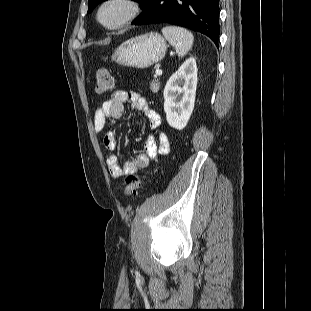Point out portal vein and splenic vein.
Masks as SVG:
<instances>
[{"label":"portal vein and splenic vein","mask_w":311,"mask_h":311,"mask_svg":"<svg viewBox=\"0 0 311 311\" xmlns=\"http://www.w3.org/2000/svg\"><path fill=\"white\" fill-rule=\"evenodd\" d=\"M155 73H156V75L160 76V75H162V70L161 69H157Z\"/></svg>","instance_id":"obj_1"}]
</instances>
